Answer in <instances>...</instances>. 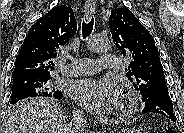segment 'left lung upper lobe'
Wrapping results in <instances>:
<instances>
[{
	"label": "left lung upper lobe",
	"mask_w": 184,
	"mask_h": 133,
	"mask_svg": "<svg viewBox=\"0 0 184 133\" xmlns=\"http://www.w3.org/2000/svg\"><path fill=\"white\" fill-rule=\"evenodd\" d=\"M109 27L114 44L123 55L132 58L126 75L143 102L152 95L161 101L155 93H168V87L152 35L126 7L111 10Z\"/></svg>",
	"instance_id": "obj_1"
}]
</instances>
